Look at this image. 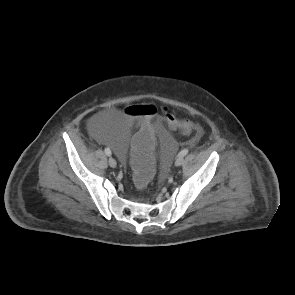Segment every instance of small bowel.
<instances>
[{
    "label": "small bowel",
    "instance_id": "1",
    "mask_svg": "<svg viewBox=\"0 0 295 295\" xmlns=\"http://www.w3.org/2000/svg\"><path fill=\"white\" fill-rule=\"evenodd\" d=\"M117 116H119V113L117 114ZM129 128H131V127H129ZM195 130H196V132H197V136L199 137V136L201 135V130H200V128H199L198 126L195 125Z\"/></svg>",
    "mask_w": 295,
    "mask_h": 295
}]
</instances>
